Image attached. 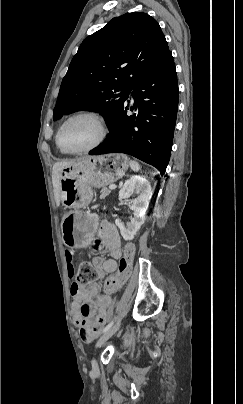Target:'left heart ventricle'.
Instances as JSON below:
<instances>
[{"label": "left heart ventricle", "mask_w": 243, "mask_h": 404, "mask_svg": "<svg viewBox=\"0 0 243 404\" xmlns=\"http://www.w3.org/2000/svg\"><path fill=\"white\" fill-rule=\"evenodd\" d=\"M100 136V125L90 116H78L63 127L60 141L64 148L84 149L94 144Z\"/></svg>", "instance_id": "b2bd125f"}]
</instances>
